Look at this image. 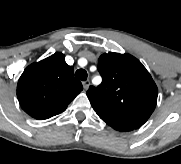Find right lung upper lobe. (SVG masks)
Listing matches in <instances>:
<instances>
[{
  "label": "right lung upper lobe",
  "instance_id": "1",
  "mask_svg": "<svg viewBox=\"0 0 181 164\" xmlns=\"http://www.w3.org/2000/svg\"><path fill=\"white\" fill-rule=\"evenodd\" d=\"M73 74L74 68L66 64L62 53L29 65L17 85L22 109L37 120L63 112L83 89Z\"/></svg>",
  "mask_w": 181,
  "mask_h": 164
}]
</instances>
